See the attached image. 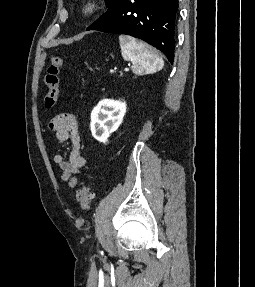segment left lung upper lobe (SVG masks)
Masks as SVG:
<instances>
[{"instance_id": "5c2ea615", "label": "left lung upper lobe", "mask_w": 255, "mask_h": 287, "mask_svg": "<svg viewBox=\"0 0 255 287\" xmlns=\"http://www.w3.org/2000/svg\"><path fill=\"white\" fill-rule=\"evenodd\" d=\"M106 1V4L108 5V6H110L115 0H105Z\"/></svg>"}]
</instances>
